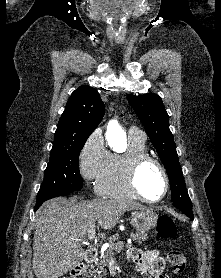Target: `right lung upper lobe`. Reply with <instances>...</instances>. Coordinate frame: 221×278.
Here are the masks:
<instances>
[{
	"label": "right lung upper lobe",
	"instance_id": "cb5924a9",
	"mask_svg": "<svg viewBox=\"0 0 221 278\" xmlns=\"http://www.w3.org/2000/svg\"><path fill=\"white\" fill-rule=\"evenodd\" d=\"M104 104L96 89L80 86L70 96L59 120L52 148L86 141L104 116Z\"/></svg>",
	"mask_w": 221,
	"mask_h": 278
}]
</instances>
